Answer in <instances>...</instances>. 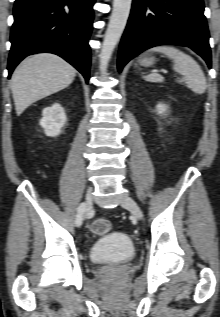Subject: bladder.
Wrapping results in <instances>:
<instances>
[{"label":"bladder","instance_id":"bladder-1","mask_svg":"<svg viewBox=\"0 0 220 317\" xmlns=\"http://www.w3.org/2000/svg\"><path fill=\"white\" fill-rule=\"evenodd\" d=\"M89 256L95 263H122L135 257V247L126 234L114 231L95 240Z\"/></svg>","mask_w":220,"mask_h":317}]
</instances>
